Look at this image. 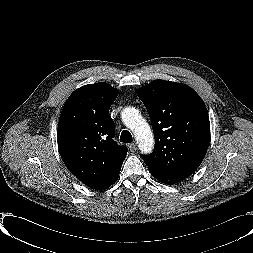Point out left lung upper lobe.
<instances>
[{
	"label": "left lung upper lobe",
	"mask_w": 253,
	"mask_h": 253,
	"mask_svg": "<svg viewBox=\"0 0 253 253\" xmlns=\"http://www.w3.org/2000/svg\"><path fill=\"white\" fill-rule=\"evenodd\" d=\"M155 136L154 151L142 156L149 170L192 174L201 164L210 140L203 100L189 86L154 80L138 89Z\"/></svg>",
	"instance_id": "1"
}]
</instances>
